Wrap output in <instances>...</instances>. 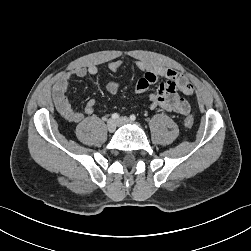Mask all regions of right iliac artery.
Wrapping results in <instances>:
<instances>
[{
  "label": "right iliac artery",
  "mask_w": 251,
  "mask_h": 251,
  "mask_svg": "<svg viewBox=\"0 0 251 251\" xmlns=\"http://www.w3.org/2000/svg\"><path fill=\"white\" fill-rule=\"evenodd\" d=\"M111 118L114 119V120H116V119L119 118V114L118 113H114V114L111 115Z\"/></svg>",
  "instance_id": "right-iliac-artery-1"
}]
</instances>
